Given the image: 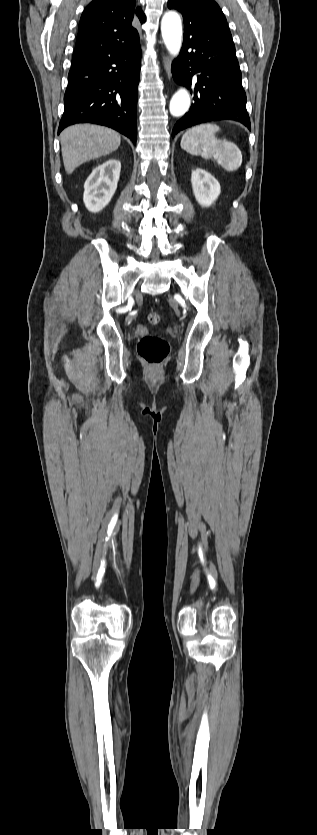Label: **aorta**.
<instances>
[{"label": "aorta", "instance_id": "aorta-1", "mask_svg": "<svg viewBox=\"0 0 317 835\" xmlns=\"http://www.w3.org/2000/svg\"><path fill=\"white\" fill-rule=\"evenodd\" d=\"M161 33L168 52L176 57L182 45V22L174 12H166L161 20ZM190 95L187 89L180 88L172 97L169 110L172 116L181 117L190 108Z\"/></svg>", "mask_w": 317, "mask_h": 835}]
</instances>
